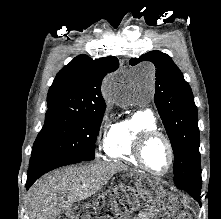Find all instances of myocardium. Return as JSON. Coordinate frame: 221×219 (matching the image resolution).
I'll list each match as a JSON object with an SVG mask.
<instances>
[{"mask_svg": "<svg viewBox=\"0 0 221 219\" xmlns=\"http://www.w3.org/2000/svg\"><path fill=\"white\" fill-rule=\"evenodd\" d=\"M160 138L161 140L164 141L167 149H168V154H169V164L167 169L164 172H157L151 169L148 164L145 161L144 157V151L146 146L148 145L149 142L152 140ZM133 155L139 165L149 172L150 174L154 176H165L167 175L173 168L174 161H175V154H174V148L173 145L170 141V139L162 132H160L157 129H145L141 131L138 136L136 137L133 145Z\"/></svg>", "mask_w": 221, "mask_h": 219, "instance_id": "myocardium-1", "label": "myocardium"}]
</instances>
